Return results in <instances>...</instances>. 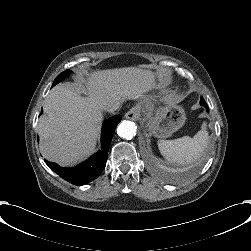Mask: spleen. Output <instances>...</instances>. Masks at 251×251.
<instances>
[{"label": "spleen", "mask_w": 251, "mask_h": 251, "mask_svg": "<svg viewBox=\"0 0 251 251\" xmlns=\"http://www.w3.org/2000/svg\"><path fill=\"white\" fill-rule=\"evenodd\" d=\"M209 127L206 120L202 121L197 134L177 140H158L157 146L162 157L169 163L191 165L196 163L209 146Z\"/></svg>", "instance_id": "3e777b00"}]
</instances>
